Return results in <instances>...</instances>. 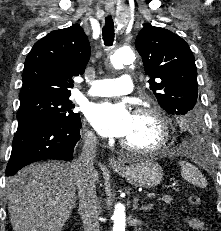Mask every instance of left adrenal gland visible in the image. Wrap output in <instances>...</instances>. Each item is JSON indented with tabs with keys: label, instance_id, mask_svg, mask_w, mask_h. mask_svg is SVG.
<instances>
[{
	"label": "left adrenal gland",
	"instance_id": "left-adrenal-gland-1",
	"mask_svg": "<svg viewBox=\"0 0 221 231\" xmlns=\"http://www.w3.org/2000/svg\"><path fill=\"white\" fill-rule=\"evenodd\" d=\"M138 201H139V197L136 196L134 198V202H133V208L134 209L147 211V210H150L153 206L152 204H148V205H142L140 208H138Z\"/></svg>",
	"mask_w": 221,
	"mask_h": 231
}]
</instances>
